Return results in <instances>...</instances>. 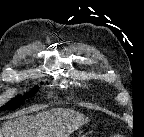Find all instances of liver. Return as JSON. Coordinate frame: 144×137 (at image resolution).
Listing matches in <instances>:
<instances>
[{
  "mask_svg": "<svg viewBox=\"0 0 144 137\" xmlns=\"http://www.w3.org/2000/svg\"><path fill=\"white\" fill-rule=\"evenodd\" d=\"M90 119L74 110L54 108L24 115L19 113L4 122L2 137H69Z\"/></svg>",
  "mask_w": 144,
  "mask_h": 137,
  "instance_id": "obj_1",
  "label": "liver"
}]
</instances>
